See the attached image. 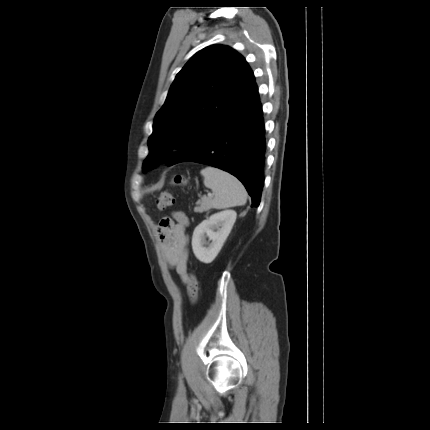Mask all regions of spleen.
I'll list each match as a JSON object with an SVG mask.
<instances>
[{
    "mask_svg": "<svg viewBox=\"0 0 430 430\" xmlns=\"http://www.w3.org/2000/svg\"><path fill=\"white\" fill-rule=\"evenodd\" d=\"M200 173L204 177L205 186L214 192V208L225 209L246 204L248 194L235 176L210 166L202 169Z\"/></svg>",
    "mask_w": 430,
    "mask_h": 430,
    "instance_id": "obj_1",
    "label": "spleen"
}]
</instances>
